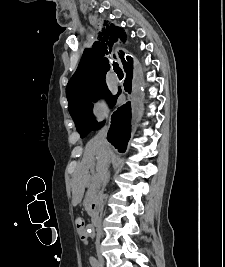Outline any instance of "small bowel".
<instances>
[{
    "label": "small bowel",
    "mask_w": 225,
    "mask_h": 267,
    "mask_svg": "<svg viewBox=\"0 0 225 267\" xmlns=\"http://www.w3.org/2000/svg\"><path fill=\"white\" fill-rule=\"evenodd\" d=\"M88 230L87 231H85V233L83 234V235H79V237H80V240L82 241V242H86L87 240H88Z\"/></svg>",
    "instance_id": "1"
}]
</instances>
